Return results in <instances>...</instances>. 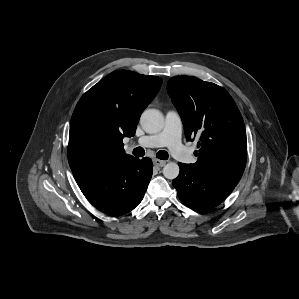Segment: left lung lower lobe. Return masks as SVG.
<instances>
[{"label": "left lung lower lobe", "mask_w": 299, "mask_h": 299, "mask_svg": "<svg viewBox=\"0 0 299 299\" xmlns=\"http://www.w3.org/2000/svg\"><path fill=\"white\" fill-rule=\"evenodd\" d=\"M180 173L173 180L178 197L187 207L203 211L224 201L235 186L193 170L189 164L179 163Z\"/></svg>", "instance_id": "left-lung-lower-lobe-1"}]
</instances>
